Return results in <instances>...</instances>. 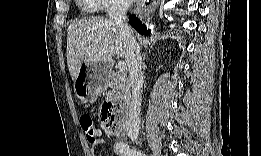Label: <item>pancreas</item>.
Listing matches in <instances>:
<instances>
[{"instance_id": "obj_1", "label": "pancreas", "mask_w": 261, "mask_h": 156, "mask_svg": "<svg viewBox=\"0 0 261 156\" xmlns=\"http://www.w3.org/2000/svg\"><path fill=\"white\" fill-rule=\"evenodd\" d=\"M109 86L112 89V93L115 94L118 101L125 104L130 100V86L125 71H114L110 69L108 72Z\"/></svg>"}]
</instances>
